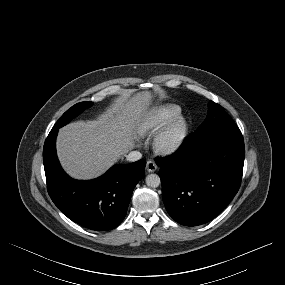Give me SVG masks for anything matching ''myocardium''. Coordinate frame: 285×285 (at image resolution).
Returning a JSON list of instances; mask_svg holds the SVG:
<instances>
[{"label": "myocardium", "instance_id": "obj_1", "mask_svg": "<svg viewBox=\"0 0 285 285\" xmlns=\"http://www.w3.org/2000/svg\"><path fill=\"white\" fill-rule=\"evenodd\" d=\"M188 134L186 118L179 114L172 118L155 136L154 149L162 155L176 154L183 146Z\"/></svg>", "mask_w": 285, "mask_h": 285}]
</instances>
